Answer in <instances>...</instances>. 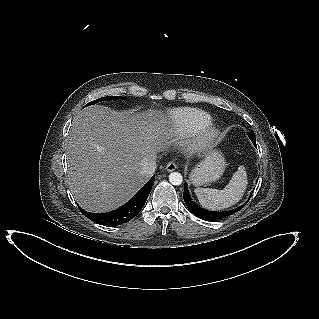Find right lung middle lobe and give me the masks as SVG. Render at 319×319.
I'll return each instance as SVG.
<instances>
[{"instance_id":"obj_1","label":"right lung middle lobe","mask_w":319,"mask_h":319,"mask_svg":"<svg viewBox=\"0 0 319 319\" xmlns=\"http://www.w3.org/2000/svg\"><path fill=\"white\" fill-rule=\"evenodd\" d=\"M119 99V96H108V97H102V98H99L97 100H94L90 103H88L87 105H92V104H96L97 102H101V101H106V100H117ZM86 105V106H87Z\"/></svg>"}]
</instances>
